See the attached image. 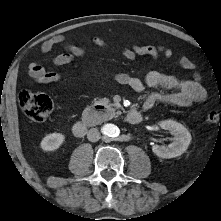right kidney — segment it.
Segmentation results:
<instances>
[{
	"instance_id": "right-kidney-1",
	"label": "right kidney",
	"mask_w": 221,
	"mask_h": 221,
	"mask_svg": "<svg viewBox=\"0 0 221 221\" xmlns=\"http://www.w3.org/2000/svg\"><path fill=\"white\" fill-rule=\"evenodd\" d=\"M65 140V136L61 133H51L46 135L41 143L40 147L44 151H54L58 149Z\"/></svg>"
}]
</instances>
